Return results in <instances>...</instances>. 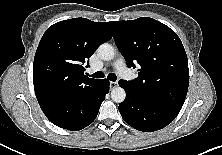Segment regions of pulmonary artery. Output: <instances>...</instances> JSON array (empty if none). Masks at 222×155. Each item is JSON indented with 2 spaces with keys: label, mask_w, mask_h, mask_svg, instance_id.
<instances>
[{
  "label": "pulmonary artery",
  "mask_w": 222,
  "mask_h": 155,
  "mask_svg": "<svg viewBox=\"0 0 222 155\" xmlns=\"http://www.w3.org/2000/svg\"><path fill=\"white\" fill-rule=\"evenodd\" d=\"M114 68L121 77L126 79L130 78V72L122 58H119L114 62Z\"/></svg>",
  "instance_id": "pulmonary-artery-1"
}]
</instances>
